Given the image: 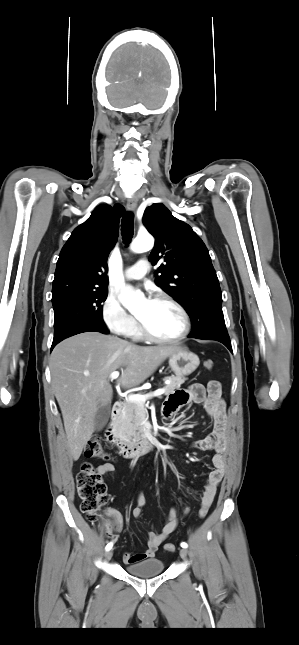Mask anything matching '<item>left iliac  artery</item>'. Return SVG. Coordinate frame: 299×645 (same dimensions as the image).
Here are the masks:
<instances>
[{
  "label": "left iliac artery",
  "mask_w": 299,
  "mask_h": 645,
  "mask_svg": "<svg viewBox=\"0 0 299 645\" xmlns=\"http://www.w3.org/2000/svg\"><path fill=\"white\" fill-rule=\"evenodd\" d=\"M180 545H181L182 548H187L188 547L186 542H182Z\"/></svg>",
  "instance_id": "left-iliac-artery-1"
}]
</instances>
